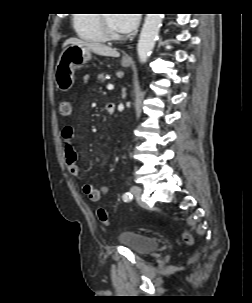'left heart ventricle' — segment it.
<instances>
[{"mask_svg": "<svg viewBox=\"0 0 252 303\" xmlns=\"http://www.w3.org/2000/svg\"><path fill=\"white\" fill-rule=\"evenodd\" d=\"M107 18H108V23L109 26L117 33H121V31L119 30V28L117 27L115 21H114V14H106Z\"/></svg>", "mask_w": 252, "mask_h": 303, "instance_id": "1", "label": "left heart ventricle"}]
</instances>
